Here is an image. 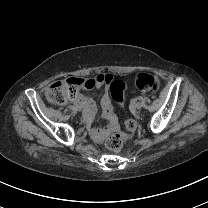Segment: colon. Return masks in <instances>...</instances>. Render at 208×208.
Masks as SVG:
<instances>
[{
	"label": "colon",
	"mask_w": 208,
	"mask_h": 208,
	"mask_svg": "<svg viewBox=\"0 0 208 208\" xmlns=\"http://www.w3.org/2000/svg\"><path fill=\"white\" fill-rule=\"evenodd\" d=\"M74 81L75 84L72 82ZM134 82L136 87L142 92H153L157 87L156 79L145 73H139L135 76ZM107 83L109 85L110 95L116 104L123 106L125 102V92L127 89L126 83L114 78L112 73L99 74L90 80H81L76 78L60 79L52 83L47 89V98L54 105H63L71 101L80 88L89 89L90 87ZM123 127L128 132H133L137 128V123L133 119H128L124 122ZM123 142V137L120 135H112L107 139L106 146L112 150L120 149Z\"/></svg>",
	"instance_id": "obj_1"
}]
</instances>
